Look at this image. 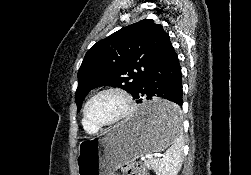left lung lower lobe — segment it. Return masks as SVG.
Wrapping results in <instances>:
<instances>
[{
  "label": "left lung lower lobe",
  "instance_id": "obj_1",
  "mask_svg": "<svg viewBox=\"0 0 251 175\" xmlns=\"http://www.w3.org/2000/svg\"><path fill=\"white\" fill-rule=\"evenodd\" d=\"M182 95L181 67L169 39L156 61L145 73L133 97L137 99V103L160 97L175 104L143 109L139 114L140 120L149 123L176 122L181 117Z\"/></svg>",
  "mask_w": 251,
  "mask_h": 175
}]
</instances>
